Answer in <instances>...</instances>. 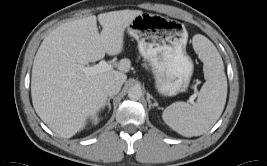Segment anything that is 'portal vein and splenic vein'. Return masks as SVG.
Here are the masks:
<instances>
[{
  "label": "portal vein and splenic vein",
  "mask_w": 267,
  "mask_h": 166,
  "mask_svg": "<svg viewBox=\"0 0 267 166\" xmlns=\"http://www.w3.org/2000/svg\"><path fill=\"white\" fill-rule=\"evenodd\" d=\"M113 70V66L111 64H109L108 62H106L105 60H101L98 64L91 66V67H81V71L85 74V75H94V74H98V73H103V72H108ZM196 95H192L190 97V102L193 103L194 99H195Z\"/></svg>",
  "instance_id": "18ae733b"
}]
</instances>
